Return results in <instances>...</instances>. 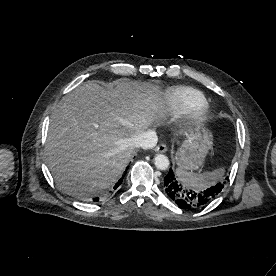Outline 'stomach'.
I'll use <instances>...</instances> for the list:
<instances>
[{
  "mask_svg": "<svg viewBox=\"0 0 276 276\" xmlns=\"http://www.w3.org/2000/svg\"><path fill=\"white\" fill-rule=\"evenodd\" d=\"M212 145L211 132L208 129L196 127L186 133V139L176 151L174 160L179 169L197 170L204 163Z\"/></svg>",
  "mask_w": 276,
  "mask_h": 276,
  "instance_id": "0dacf381",
  "label": "stomach"
}]
</instances>
